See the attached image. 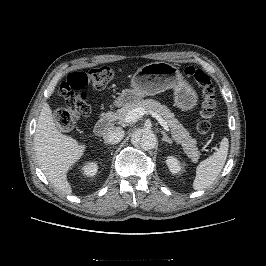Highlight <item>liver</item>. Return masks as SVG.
<instances>
[{
  "label": "liver",
  "instance_id": "6515ba94",
  "mask_svg": "<svg viewBox=\"0 0 266 266\" xmlns=\"http://www.w3.org/2000/svg\"><path fill=\"white\" fill-rule=\"evenodd\" d=\"M34 149L37 162L52 186L63 195L71 194L67 173L83 156L86 146L57 129L48 103L39 115Z\"/></svg>",
  "mask_w": 266,
  "mask_h": 266
}]
</instances>
